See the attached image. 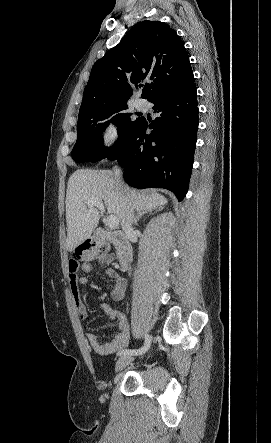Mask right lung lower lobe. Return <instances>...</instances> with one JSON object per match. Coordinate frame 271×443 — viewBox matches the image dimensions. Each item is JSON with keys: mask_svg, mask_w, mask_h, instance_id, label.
Masks as SVG:
<instances>
[{"mask_svg": "<svg viewBox=\"0 0 271 443\" xmlns=\"http://www.w3.org/2000/svg\"><path fill=\"white\" fill-rule=\"evenodd\" d=\"M195 79L166 89L149 100L158 113L149 125L145 119L122 141L114 159L125 168V181L138 189L161 187L172 191L179 201L185 197L198 129ZM153 129L146 134V129Z\"/></svg>", "mask_w": 271, "mask_h": 443, "instance_id": "1", "label": "right lung lower lobe"}]
</instances>
